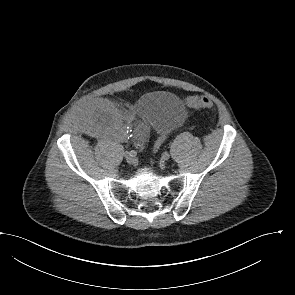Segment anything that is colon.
Masks as SVG:
<instances>
[{
  "label": "colon",
  "instance_id": "5ec220e1",
  "mask_svg": "<svg viewBox=\"0 0 295 295\" xmlns=\"http://www.w3.org/2000/svg\"><path fill=\"white\" fill-rule=\"evenodd\" d=\"M188 105L194 108H213L212 100L206 96L190 97Z\"/></svg>",
  "mask_w": 295,
  "mask_h": 295
}]
</instances>
